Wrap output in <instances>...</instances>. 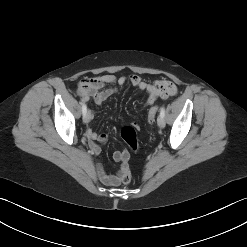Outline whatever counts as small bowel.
Masks as SVG:
<instances>
[{"instance_id": "obj_1", "label": "small bowel", "mask_w": 247, "mask_h": 247, "mask_svg": "<svg viewBox=\"0 0 247 247\" xmlns=\"http://www.w3.org/2000/svg\"><path fill=\"white\" fill-rule=\"evenodd\" d=\"M127 81H129L132 86L147 93V106L154 104L158 98L167 99L177 93L176 85L170 80H159L148 83L136 74H132L128 78L124 76L116 77L112 74L85 78L79 82L77 92L84 101H93L96 104H101L111 95L116 93L118 88L123 87ZM86 136L91 141L92 151L94 154L98 155L100 153V148L94 141L105 143L108 138L107 135L104 133L97 134L91 129H88L86 131ZM113 157L116 161L123 163L119 172L116 174H107L101 163L96 164L98 177L104 184L109 186L119 185L121 175L128 169L126 164L127 159L123 157L122 152L116 151Z\"/></svg>"}]
</instances>
